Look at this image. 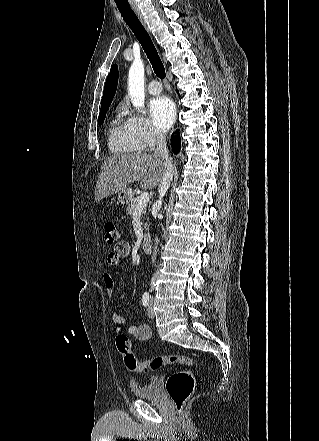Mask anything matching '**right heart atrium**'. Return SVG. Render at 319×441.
I'll use <instances>...</instances> for the list:
<instances>
[{"label":"right heart atrium","instance_id":"1","mask_svg":"<svg viewBox=\"0 0 319 441\" xmlns=\"http://www.w3.org/2000/svg\"><path fill=\"white\" fill-rule=\"evenodd\" d=\"M127 126L129 136L137 151L151 150L165 139V134L141 115H131L127 119Z\"/></svg>","mask_w":319,"mask_h":441}]
</instances>
